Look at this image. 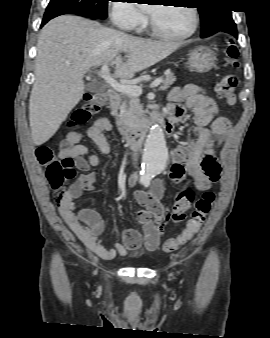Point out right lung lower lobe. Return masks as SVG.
I'll return each instance as SVG.
<instances>
[{
    "label": "right lung lower lobe",
    "mask_w": 270,
    "mask_h": 338,
    "mask_svg": "<svg viewBox=\"0 0 270 338\" xmlns=\"http://www.w3.org/2000/svg\"><path fill=\"white\" fill-rule=\"evenodd\" d=\"M59 15H63L61 13H52V14H45L44 15V18H43V21H42V24H41V27L46 24L50 19L52 18H55ZM83 16H86V17H89V18H93V19H98L97 17H93V16H90V15H83Z\"/></svg>",
    "instance_id": "obj_1"
}]
</instances>
